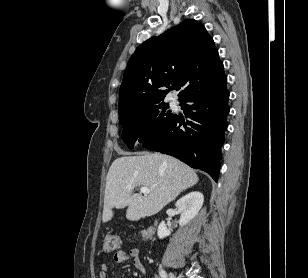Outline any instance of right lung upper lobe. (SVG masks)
Here are the masks:
<instances>
[{"label": "right lung upper lobe", "mask_w": 308, "mask_h": 278, "mask_svg": "<svg viewBox=\"0 0 308 278\" xmlns=\"http://www.w3.org/2000/svg\"><path fill=\"white\" fill-rule=\"evenodd\" d=\"M223 63L205 27L190 19L143 42L124 72L119 91V119L140 108L161 103L179 84L186 95L224 76Z\"/></svg>", "instance_id": "right-lung-upper-lobe-1"}]
</instances>
